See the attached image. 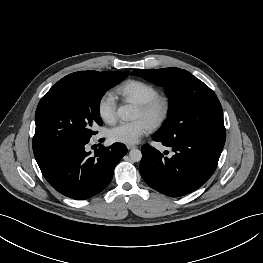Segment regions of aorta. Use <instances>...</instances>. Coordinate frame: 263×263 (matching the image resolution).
<instances>
[{
    "label": "aorta",
    "mask_w": 263,
    "mask_h": 263,
    "mask_svg": "<svg viewBox=\"0 0 263 263\" xmlns=\"http://www.w3.org/2000/svg\"><path fill=\"white\" fill-rule=\"evenodd\" d=\"M117 113L120 118L128 120H132L137 116L136 108L130 104L120 106L117 110ZM129 158L132 162H139L142 158V153L138 149H132L129 152Z\"/></svg>",
    "instance_id": "762f6f07"
}]
</instances>
